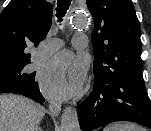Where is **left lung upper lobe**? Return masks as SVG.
I'll return each mask as SVG.
<instances>
[{
	"instance_id": "1",
	"label": "left lung upper lobe",
	"mask_w": 151,
	"mask_h": 131,
	"mask_svg": "<svg viewBox=\"0 0 151 131\" xmlns=\"http://www.w3.org/2000/svg\"><path fill=\"white\" fill-rule=\"evenodd\" d=\"M94 19V84L143 67L140 24L131 0H87Z\"/></svg>"
}]
</instances>
